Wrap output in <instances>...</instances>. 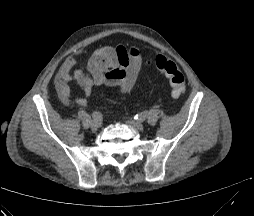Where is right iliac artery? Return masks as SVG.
<instances>
[{
  "mask_svg": "<svg viewBox=\"0 0 254 216\" xmlns=\"http://www.w3.org/2000/svg\"><path fill=\"white\" fill-rule=\"evenodd\" d=\"M92 118L94 119V121H97V122H101L103 119L102 114L99 111H94L92 113Z\"/></svg>",
  "mask_w": 254,
  "mask_h": 216,
  "instance_id": "82829eb1",
  "label": "right iliac artery"
}]
</instances>
